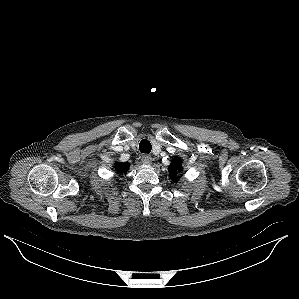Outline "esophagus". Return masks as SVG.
Listing matches in <instances>:
<instances>
[{
	"label": "esophagus",
	"instance_id": "esophagus-1",
	"mask_svg": "<svg viewBox=\"0 0 299 299\" xmlns=\"http://www.w3.org/2000/svg\"><path fill=\"white\" fill-rule=\"evenodd\" d=\"M141 161L145 165H150L152 163L153 159L150 155H143L141 158Z\"/></svg>",
	"mask_w": 299,
	"mask_h": 299
}]
</instances>
